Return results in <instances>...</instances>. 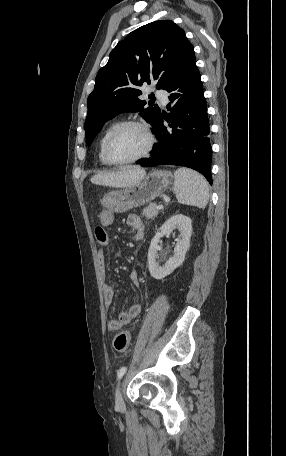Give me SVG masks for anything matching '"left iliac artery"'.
<instances>
[{"mask_svg":"<svg viewBox=\"0 0 286 456\" xmlns=\"http://www.w3.org/2000/svg\"><path fill=\"white\" fill-rule=\"evenodd\" d=\"M126 371H127V367L124 366V367L120 368L117 372L118 379H121L124 376V374L126 373Z\"/></svg>","mask_w":286,"mask_h":456,"instance_id":"1","label":"left iliac artery"}]
</instances>
